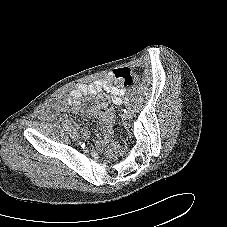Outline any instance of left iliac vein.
<instances>
[{
    "instance_id": "left-iliac-vein-1",
    "label": "left iliac vein",
    "mask_w": 227,
    "mask_h": 227,
    "mask_svg": "<svg viewBox=\"0 0 227 227\" xmlns=\"http://www.w3.org/2000/svg\"><path fill=\"white\" fill-rule=\"evenodd\" d=\"M134 117V110L131 107H128L125 112V118L130 120Z\"/></svg>"
}]
</instances>
